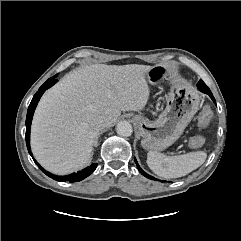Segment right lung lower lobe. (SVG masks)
<instances>
[{
  "label": "right lung lower lobe",
  "instance_id": "right-lung-lower-lobe-1",
  "mask_svg": "<svg viewBox=\"0 0 241 241\" xmlns=\"http://www.w3.org/2000/svg\"><path fill=\"white\" fill-rule=\"evenodd\" d=\"M49 78L37 91V93L34 95L29 107H28V112H27V117H26V145L28 148V151L30 155L32 156L31 150H30V128H31V122H32V117L35 111V108L38 104V101L40 100L42 94L45 92L46 89L50 88L56 83V77ZM35 163L38 165V167L49 177L57 180V181H69V182H78L89 176L94 172V170L97 167V164H92L91 166H88L87 168L83 169L82 171H79L77 173H73L67 176H55L52 173L45 171L36 161Z\"/></svg>",
  "mask_w": 241,
  "mask_h": 241
}]
</instances>
